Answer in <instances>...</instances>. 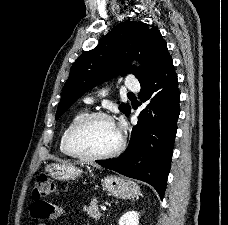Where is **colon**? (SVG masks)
I'll return each instance as SVG.
<instances>
[{
    "label": "colon",
    "mask_w": 228,
    "mask_h": 225,
    "mask_svg": "<svg viewBox=\"0 0 228 225\" xmlns=\"http://www.w3.org/2000/svg\"><path fill=\"white\" fill-rule=\"evenodd\" d=\"M53 191V182L44 175L39 174L34 182L32 196L35 200H43V198Z\"/></svg>",
    "instance_id": "1"
}]
</instances>
